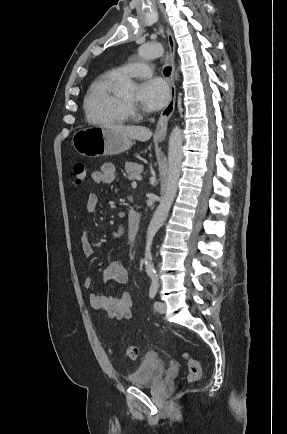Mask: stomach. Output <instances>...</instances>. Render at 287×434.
I'll use <instances>...</instances> for the list:
<instances>
[{
  "instance_id": "stomach-1",
  "label": "stomach",
  "mask_w": 287,
  "mask_h": 434,
  "mask_svg": "<svg viewBox=\"0 0 287 434\" xmlns=\"http://www.w3.org/2000/svg\"><path fill=\"white\" fill-rule=\"evenodd\" d=\"M74 149L86 157L121 154L131 148L132 139L103 126H89L77 130L72 137Z\"/></svg>"
}]
</instances>
